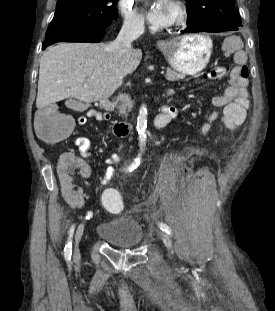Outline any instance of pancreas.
<instances>
[{
  "mask_svg": "<svg viewBox=\"0 0 275 311\" xmlns=\"http://www.w3.org/2000/svg\"><path fill=\"white\" fill-rule=\"evenodd\" d=\"M184 76L176 71L171 69H167L166 71V79L171 82L178 81L183 79ZM115 106L118 109L119 114L127 115V111H130L133 107V101L130 96L127 94H120L114 102Z\"/></svg>",
  "mask_w": 275,
  "mask_h": 311,
  "instance_id": "cf45deb5",
  "label": "pancreas"
}]
</instances>
